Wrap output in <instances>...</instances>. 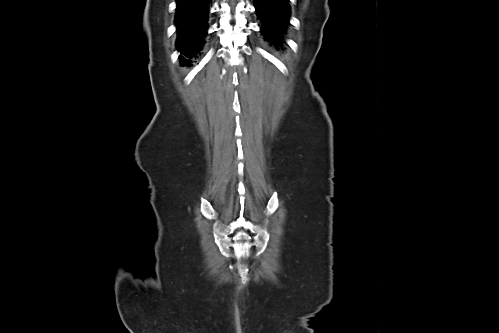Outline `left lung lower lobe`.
Masks as SVG:
<instances>
[{
  "label": "left lung lower lobe",
  "mask_w": 499,
  "mask_h": 333,
  "mask_svg": "<svg viewBox=\"0 0 499 333\" xmlns=\"http://www.w3.org/2000/svg\"><path fill=\"white\" fill-rule=\"evenodd\" d=\"M258 17L264 23L261 30L266 40L280 45L281 32L288 24V0H254Z\"/></svg>",
  "instance_id": "left-lung-lower-lobe-1"
}]
</instances>
